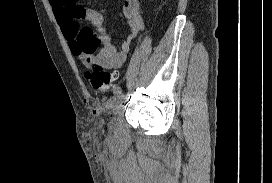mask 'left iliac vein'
Wrapping results in <instances>:
<instances>
[{"label": "left iliac vein", "mask_w": 272, "mask_h": 183, "mask_svg": "<svg viewBox=\"0 0 272 183\" xmlns=\"http://www.w3.org/2000/svg\"><path fill=\"white\" fill-rule=\"evenodd\" d=\"M122 102V96H119L117 99H115L113 103V107L115 109L119 108L120 103ZM110 107H112V104H110Z\"/></svg>", "instance_id": "left-iliac-vein-1"}]
</instances>
